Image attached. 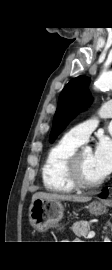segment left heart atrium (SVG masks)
<instances>
[{
    "label": "left heart atrium",
    "mask_w": 112,
    "mask_h": 270,
    "mask_svg": "<svg viewBox=\"0 0 112 270\" xmlns=\"http://www.w3.org/2000/svg\"><path fill=\"white\" fill-rule=\"evenodd\" d=\"M95 167L102 178L112 172V140L102 137L93 153Z\"/></svg>",
    "instance_id": "obj_1"
}]
</instances>
